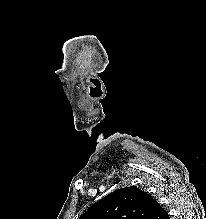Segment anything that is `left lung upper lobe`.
Masks as SVG:
<instances>
[{
  "mask_svg": "<svg viewBox=\"0 0 206 219\" xmlns=\"http://www.w3.org/2000/svg\"><path fill=\"white\" fill-rule=\"evenodd\" d=\"M154 201L135 186L125 187L91 205L79 219H150Z\"/></svg>",
  "mask_w": 206,
  "mask_h": 219,
  "instance_id": "obj_1",
  "label": "left lung upper lobe"
}]
</instances>
